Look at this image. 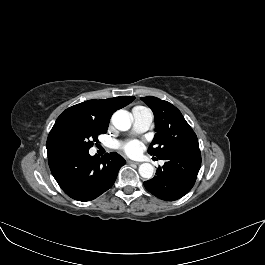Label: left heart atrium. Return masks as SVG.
<instances>
[{"mask_svg": "<svg viewBox=\"0 0 265 265\" xmlns=\"http://www.w3.org/2000/svg\"><path fill=\"white\" fill-rule=\"evenodd\" d=\"M142 145L139 141L133 140L122 145V149L128 155H136L141 151Z\"/></svg>", "mask_w": 265, "mask_h": 265, "instance_id": "1", "label": "left heart atrium"}]
</instances>
